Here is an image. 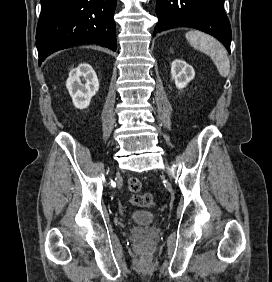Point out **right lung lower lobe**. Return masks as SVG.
<instances>
[{"label": "right lung lower lobe", "mask_w": 272, "mask_h": 282, "mask_svg": "<svg viewBox=\"0 0 272 282\" xmlns=\"http://www.w3.org/2000/svg\"><path fill=\"white\" fill-rule=\"evenodd\" d=\"M117 0H41L36 31L39 65L62 49L96 43L116 51Z\"/></svg>", "instance_id": "1"}]
</instances>
